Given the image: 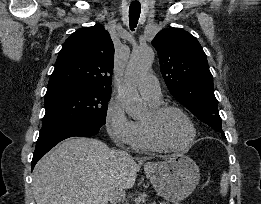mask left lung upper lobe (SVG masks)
<instances>
[{
  "label": "left lung upper lobe",
  "mask_w": 261,
  "mask_h": 204,
  "mask_svg": "<svg viewBox=\"0 0 261 204\" xmlns=\"http://www.w3.org/2000/svg\"><path fill=\"white\" fill-rule=\"evenodd\" d=\"M161 73L173 97L200 121L221 132L213 76L198 40L181 28L160 31L152 41Z\"/></svg>",
  "instance_id": "1"
}]
</instances>
